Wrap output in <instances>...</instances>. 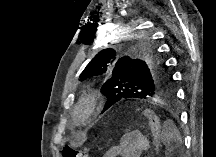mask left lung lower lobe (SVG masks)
<instances>
[{
    "mask_svg": "<svg viewBox=\"0 0 216 157\" xmlns=\"http://www.w3.org/2000/svg\"><path fill=\"white\" fill-rule=\"evenodd\" d=\"M114 104H115V103H114ZM112 105H113L112 103L106 104L103 111L107 110V109H108L109 107H111Z\"/></svg>",
    "mask_w": 216,
    "mask_h": 157,
    "instance_id": "1",
    "label": "left lung lower lobe"
}]
</instances>
